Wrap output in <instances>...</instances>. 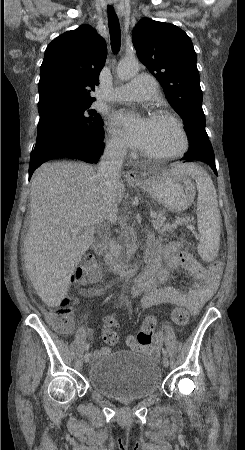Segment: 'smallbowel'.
I'll use <instances>...</instances> for the list:
<instances>
[{
    "label": "small bowel",
    "instance_id": "c3829d8e",
    "mask_svg": "<svg viewBox=\"0 0 245 450\" xmlns=\"http://www.w3.org/2000/svg\"><path fill=\"white\" fill-rule=\"evenodd\" d=\"M146 255L152 262L135 277L132 287V294L139 298L138 304L142 308L159 304L181 305L191 315H196L218 287L221 264L219 263L218 270L202 267L179 241L171 240L162 244L151 233L148 237ZM179 269H183L198 281L195 288L182 291L171 284L173 274ZM104 289L105 286L92 287L83 290L81 294L84 297H94L100 295ZM167 329L169 326L166 325L155 330L153 337L155 348L160 349L163 345L164 331ZM125 342L129 348H140L134 336H128ZM111 350L110 346H104L99 354H109Z\"/></svg>",
    "mask_w": 245,
    "mask_h": 450
}]
</instances>
